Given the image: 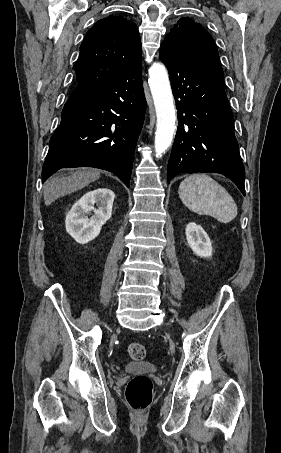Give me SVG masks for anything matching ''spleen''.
Segmentation results:
<instances>
[{
    "label": "spleen",
    "mask_w": 281,
    "mask_h": 453,
    "mask_svg": "<svg viewBox=\"0 0 281 453\" xmlns=\"http://www.w3.org/2000/svg\"><path fill=\"white\" fill-rule=\"evenodd\" d=\"M179 196L197 214H210L219 222H230L237 214L231 194L208 174H190L179 186Z\"/></svg>",
    "instance_id": "spleen-1"
}]
</instances>
